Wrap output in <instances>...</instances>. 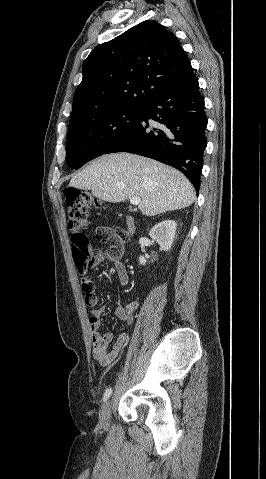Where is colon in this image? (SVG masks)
Listing matches in <instances>:
<instances>
[{
  "label": "colon",
  "instance_id": "1",
  "mask_svg": "<svg viewBox=\"0 0 266 479\" xmlns=\"http://www.w3.org/2000/svg\"><path fill=\"white\" fill-rule=\"evenodd\" d=\"M65 209L68 217V228L71 233V247L75 268L80 275V283L85 296V302L93 306L97 302L95 285L87 275L90 267L89 239L84 232L88 222V212L98 206L99 202L78 189L70 188L64 191ZM124 232L121 228L100 225L95 228V237L100 242L117 245L121 242Z\"/></svg>",
  "mask_w": 266,
  "mask_h": 479
}]
</instances>
